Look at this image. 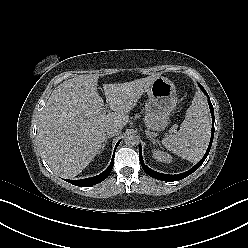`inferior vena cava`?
<instances>
[{
    "instance_id": "obj_1",
    "label": "inferior vena cava",
    "mask_w": 248,
    "mask_h": 248,
    "mask_svg": "<svg viewBox=\"0 0 248 248\" xmlns=\"http://www.w3.org/2000/svg\"><path fill=\"white\" fill-rule=\"evenodd\" d=\"M121 128L117 124H110L105 128L106 135L112 137L120 133Z\"/></svg>"
}]
</instances>
